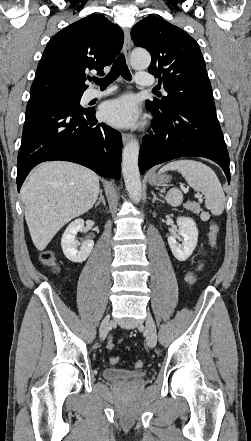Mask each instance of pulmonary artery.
Listing matches in <instances>:
<instances>
[{
	"label": "pulmonary artery",
	"instance_id": "obj_1",
	"mask_svg": "<svg viewBox=\"0 0 251 441\" xmlns=\"http://www.w3.org/2000/svg\"><path fill=\"white\" fill-rule=\"evenodd\" d=\"M136 83L142 86H151L155 83L154 78L145 73V72H138L136 75ZM113 91V88H107L103 91L98 90V89H89L86 92L85 98L86 100H92L95 98H99V97H103L106 96L108 94H110Z\"/></svg>",
	"mask_w": 251,
	"mask_h": 441
}]
</instances>
